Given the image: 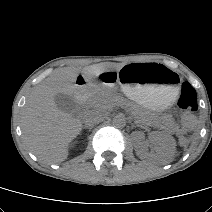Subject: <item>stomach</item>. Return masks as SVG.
Instances as JSON below:
<instances>
[{"instance_id": "stomach-1", "label": "stomach", "mask_w": 212, "mask_h": 212, "mask_svg": "<svg viewBox=\"0 0 212 212\" xmlns=\"http://www.w3.org/2000/svg\"><path fill=\"white\" fill-rule=\"evenodd\" d=\"M107 74L115 73L112 71ZM147 74L151 79H139V74ZM117 82L122 92L139 105L161 110L171 105L178 94L175 84L178 78L174 72L157 63L127 64L117 70ZM112 85V81L108 83Z\"/></svg>"}]
</instances>
